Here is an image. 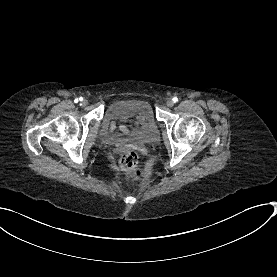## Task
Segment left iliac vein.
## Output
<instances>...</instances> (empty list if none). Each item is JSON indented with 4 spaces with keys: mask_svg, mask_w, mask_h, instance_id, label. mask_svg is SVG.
<instances>
[{
    "mask_svg": "<svg viewBox=\"0 0 277 277\" xmlns=\"http://www.w3.org/2000/svg\"><path fill=\"white\" fill-rule=\"evenodd\" d=\"M166 105H167L168 107H173V105H174L173 100H172V99H168L167 102H166Z\"/></svg>",
    "mask_w": 277,
    "mask_h": 277,
    "instance_id": "obj_1",
    "label": "left iliac vein"
}]
</instances>
